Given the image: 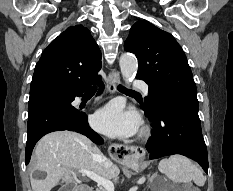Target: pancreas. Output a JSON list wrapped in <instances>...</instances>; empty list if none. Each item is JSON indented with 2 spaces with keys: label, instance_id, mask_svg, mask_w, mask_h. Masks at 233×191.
I'll use <instances>...</instances> for the list:
<instances>
[{
  "label": "pancreas",
  "instance_id": "cf45deb5",
  "mask_svg": "<svg viewBox=\"0 0 233 191\" xmlns=\"http://www.w3.org/2000/svg\"><path fill=\"white\" fill-rule=\"evenodd\" d=\"M98 191H106L105 188H100Z\"/></svg>",
  "mask_w": 233,
  "mask_h": 191
}]
</instances>
